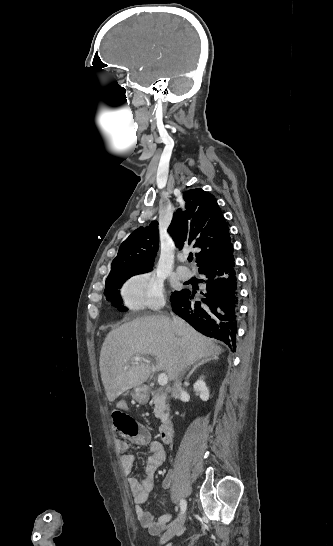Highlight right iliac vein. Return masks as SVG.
I'll return each mask as SVG.
<instances>
[{
    "label": "right iliac vein",
    "mask_w": 333,
    "mask_h": 546,
    "mask_svg": "<svg viewBox=\"0 0 333 546\" xmlns=\"http://www.w3.org/2000/svg\"><path fill=\"white\" fill-rule=\"evenodd\" d=\"M186 519L184 514L172 527H170L161 537L160 544H164L170 539H172L176 534H181L183 532V526Z\"/></svg>",
    "instance_id": "right-iliac-vein-1"
}]
</instances>
